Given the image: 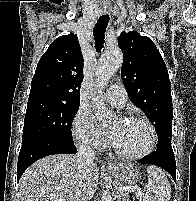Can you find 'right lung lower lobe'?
Here are the masks:
<instances>
[{
	"label": "right lung lower lobe",
	"instance_id": "right-lung-lower-lobe-1",
	"mask_svg": "<svg viewBox=\"0 0 196 201\" xmlns=\"http://www.w3.org/2000/svg\"><path fill=\"white\" fill-rule=\"evenodd\" d=\"M77 149L73 142L59 139L38 137L22 143L17 164V180L36 160L52 154H75Z\"/></svg>",
	"mask_w": 196,
	"mask_h": 201
}]
</instances>
